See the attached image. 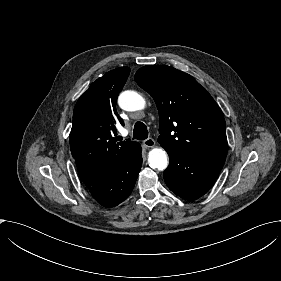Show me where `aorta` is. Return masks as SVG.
<instances>
[{
    "label": "aorta",
    "mask_w": 281,
    "mask_h": 281,
    "mask_svg": "<svg viewBox=\"0 0 281 281\" xmlns=\"http://www.w3.org/2000/svg\"><path fill=\"white\" fill-rule=\"evenodd\" d=\"M119 106L125 111H137L145 108V99L135 91L127 90L118 97ZM148 164L153 169L165 170L168 156L162 148H153L148 154Z\"/></svg>",
    "instance_id": "aorta-1"
}]
</instances>
